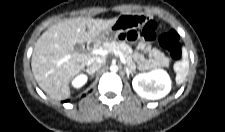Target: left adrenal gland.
<instances>
[{
	"instance_id": "obj_1",
	"label": "left adrenal gland",
	"mask_w": 225,
	"mask_h": 132,
	"mask_svg": "<svg viewBox=\"0 0 225 132\" xmlns=\"http://www.w3.org/2000/svg\"><path fill=\"white\" fill-rule=\"evenodd\" d=\"M125 71H126V74H127V77L129 78V75L131 73H133V71H131L130 69H128L127 67H125Z\"/></svg>"
}]
</instances>
